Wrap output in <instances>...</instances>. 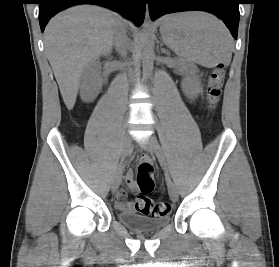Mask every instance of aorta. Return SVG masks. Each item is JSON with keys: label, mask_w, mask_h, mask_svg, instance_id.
Wrapping results in <instances>:
<instances>
[{"label": "aorta", "mask_w": 279, "mask_h": 267, "mask_svg": "<svg viewBox=\"0 0 279 267\" xmlns=\"http://www.w3.org/2000/svg\"><path fill=\"white\" fill-rule=\"evenodd\" d=\"M150 29L147 22L143 25L142 37H143V51H142V69L143 74L146 77H150L153 71L154 63V47L153 42L150 39Z\"/></svg>", "instance_id": "obj_1"}]
</instances>
